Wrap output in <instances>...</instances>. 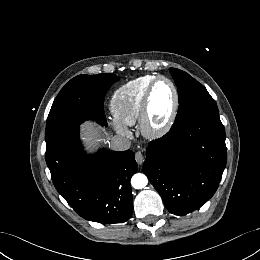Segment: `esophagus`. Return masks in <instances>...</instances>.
<instances>
[{
  "label": "esophagus",
  "instance_id": "obj_1",
  "mask_svg": "<svg viewBox=\"0 0 260 260\" xmlns=\"http://www.w3.org/2000/svg\"><path fill=\"white\" fill-rule=\"evenodd\" d=\"M135 160L139 165H141L145 160V156H144L143 152H141V151L136 152Z\"/></svg>",
  "mask_w": 260,
  "mask_h": 260
}]
</instances>
